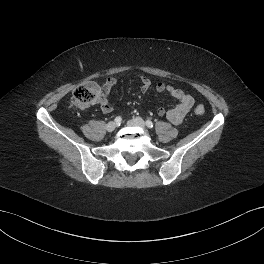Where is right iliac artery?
<instances>
[{"label": "right iliac artery", "mask_w": 264, "mask_h": 264, "mask_svg": "<svg viewBox=\"0 0 264 264\" xmlns=\"http://www.w3.org/2000/svg\"><path fill=\"white\" fill-rule=\"evenodd\" d=\"M114 121H115L117 124H120L121 121H122V118H121L120 116H118V117H116V118L114 119Z\"/></svg>", "instance_id": "82829eb1"}]
</instances>
